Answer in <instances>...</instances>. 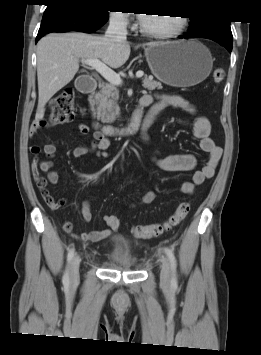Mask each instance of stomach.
I'll use <instances>...</instances> for the list:
<instances>
[{
	"mask_svg": "<svg viewBox=\"0 0 261 355\" xmlns=\"http://www.w3.org/2000/svg\"><path fill=\"white\" fill-rule=\"evenodd\" d=\"M145 56L155 77L175 87L201 83L213 67L210 51L195 39L154 43Z\"/></svg>",
	"mask_w": 261,
	"mask_h": 355,
	"instance_id": "0dacf381",
	"label": "stomach"
}]
</instances>
